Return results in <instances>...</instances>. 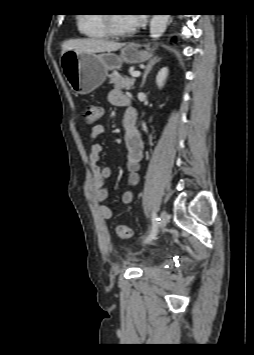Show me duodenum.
<instances>
[{"label":"duodenum","mask_w":254,"mask_h":355,"mask_svg":"<svg viewBox=\"0 0 254 355\" xmlns=\"http://www.w3.org/2000/svg\"><path fill=\"white\" fill-rule=\"evenodd\" d=\"M135 120L134 119H129L126 121L125 123V127L128 129V130H131L135 127Z\"/></svg>","instance_id":"410a0bca"}]
</instances>
